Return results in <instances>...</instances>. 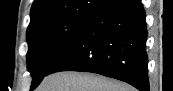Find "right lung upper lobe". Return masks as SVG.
<instances>
[{"mask_svg":"<svg viewBox=\"0 0 173 91\" xmlns=\"http://www.w3.org/2000/svg\"><path fill=\"white\" fill-rule=\"evenodd\" d=\"M111 1L113 0H34L29 26L65 17L93 15Z\"/></svg>","mask_w":173,"mask_h":91,"instance_id":"right-lung-upper-lobe-1","label":"right lung upper lobe"}]
</instances>
